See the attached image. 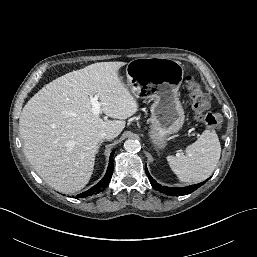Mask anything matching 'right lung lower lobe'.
Here are the masks:
<instances>
[{"label":"right lung lower lobe","instance_id":"98d812e1","mask_svg":"<svg viewBox=\"0 0 257 257\" xmlns=\"http://www.w3.org/2000/svg\"><path fill=\"white\" fill-rule=\"evenodd\" d=\"M114 151L115 150H113L110 155L109 166H108V169H107V172H106L104 178L98 184H96L94 187H92L91 189L79 194L78 197L83 198V197L91 196L93 194H98L99 192L103 191L108 186V184L111 180V177H112V173H113Z\"/></svg>","mask_w":257,"mask_h":257}]
</instances>
